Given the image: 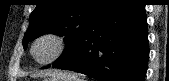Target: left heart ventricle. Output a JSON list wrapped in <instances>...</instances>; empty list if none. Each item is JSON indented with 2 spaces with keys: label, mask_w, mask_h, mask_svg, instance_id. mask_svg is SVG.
I'll list each match as a JSON object with an SVG mask.
<instances>
[{
  "label": "left heart ventricle",
  "mask_w": 169,
  "mask_h": 81,
  "mask_svg": "<svg viewBox=\"0 0 169 81\" xmlns=\"http://www.w3.org/2000/svg\"><path fill=\"white\" fill-rule=\"evenodd\" d=\"M56 51V43L50 39H44L38 42L34 48V56L38 60H47L53 56Z\"/></svg>",
  "instance_id": "b2bd125f"
}]
</instances>
